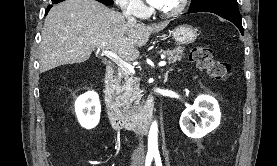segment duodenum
Segmentation results:
<instances>
[{"label": "duodenum", "mask_w": 277, "mask_h": 166, "mask_svg": "<svg viewBox=\"0 0 277 166\" xmlns=\"http://www.w3.org/2000/svg\"><path fill=\"white\" fill-rule=\"evenodd\" d=\"M112 69L107 68L100 84V95L105 115L111 125L118 130H134L146 133L153 117L154 100L150 98L138 114L126 112L120 108L109 90Z\"/></svg>", "instance_id": "1"}]
</instances>
